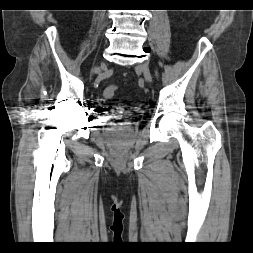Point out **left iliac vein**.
Here are the masks:
<instances>
[{
    "label": "left iliac vein",
    "instance_id": "4c4485c4",
    "mask_svg": "<svg viewBox=\"0 0 253 253\" xmlns=\"http://www.w3.org/2000/svg\"><path fill=\"white\" fill-rule=\"evenodd\" d=\"M136 69H137V70H140V71L143 73L144 78H145V80H146L148 83H151L152 77H151V74H150L148 65H147L146 63H143V64L137 66Z\"/></svg>",
    "mask_w": 253,
    "mask_h": 253
}]
</instances>
